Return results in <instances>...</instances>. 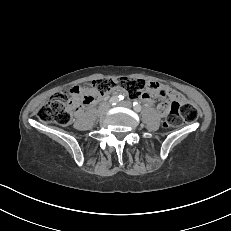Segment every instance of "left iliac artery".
Instances as JSON below:
<instances>
[{
	"label": "left iliac artery",
	"mask_w": 231,
	"mask_h": 231,
	"mask_svg": "<svg viewBox=\"0 0 231 231\" xmlns=\"http://www.w3.org/2000/svg\"><path fill=\"white\" fill-rule=\"evenodd\" d=\"M133 107H134V110L136 112H140L141 111V105L138 102H134L133 103Z\"/></svg>",
	"instance_id": "1"
}]
</instances>
